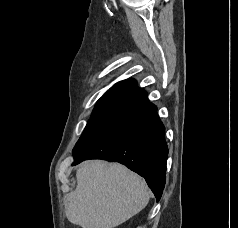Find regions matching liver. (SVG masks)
<instances>
[{
    "label": "liver",
    "mask_w": 238,
    "mask_h": 228,
    "mask_svg": "<svg viewBox=\"0 0 238 228\" xmlns=\"http://www.w3.org/2000/svg\"><path fill=\"white\" fill-rule=\"evenodd\" d=\"M77 186L65 202L67 219L82 228H114L146 207L148 187L125 166L87 161L76 172Z\"/></svg>",
    "instance_id": "obj_1"
}]
</instances>
